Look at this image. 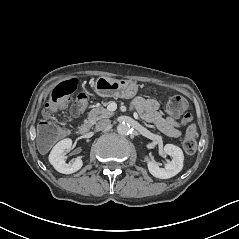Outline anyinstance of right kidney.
<instances>
[{
    "instance_id": "ca27d5eb",
    "label": "right kidney",
    "mask_w": 239,
    "mask_h": 239,
    "mask_svg": "<svg viewBox=\"0 0 239 239\" xmlns=\"http://www.w3.org/2000/svg\"><path fill=\"white\" fill-rule=\"evenodd\" d=\"M72 146V140L70 138L59 141L51 150L49 155V162L60 173L72 174L81 169L83 162L80 157H77L72 163L65 162L64 153Z\"/></svg>"
}]
</instances>
